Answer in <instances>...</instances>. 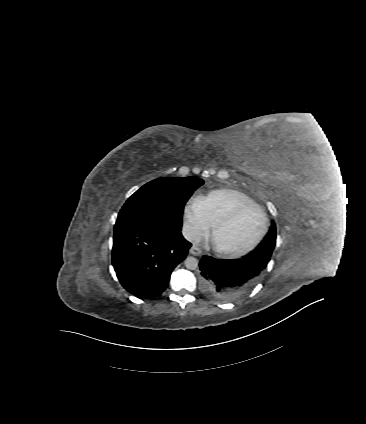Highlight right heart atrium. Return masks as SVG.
<instances>
[{
  "instance_id": "right-heart-atrium-1",
  "label": "right heart atrium",
  "mask_w": 366,
  "mask_h": 424,
  "mask_svg": "<svg viewBox=\"0 0 366 424\" xmlns=\"http://www.w3.org/2000/svg\"><path fill=\"white\" fill-rule=\"evenodd\" d=\"M183 223L187 237L198 240L205 236L211 228L203 199L199 196L190 198L183 207Z\"/></svg>"
}]
</instances>
